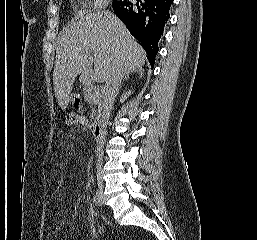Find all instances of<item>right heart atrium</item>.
<instances>
[{
	"label": "right heart atrium",
	"instance_id": "1",
	"mask_svg": "<svg viewBox=\"0 0 257 240\" xmlns=\"http://www.w3.org/2000/svg\"><path fill=\"white\" fill-rule=\"evenodd\" d=\"M109 0H94V7L95 8H102L107 4Z\"/></svg>",
	"mask_w": 257,
	"mask_h": 240
}]
</instances>
